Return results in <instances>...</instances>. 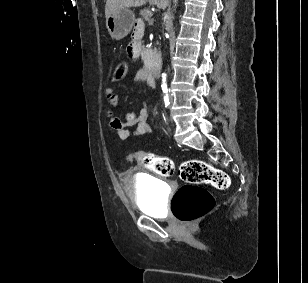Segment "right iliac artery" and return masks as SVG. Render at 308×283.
<instances>
[{
  "instance_id": "1",
  "label": "right iliac artery",
  "mask_w": 308,
  "mask_h": 283,
  "mask_svg": "<svg viewBox=\"0 0 308 283\" xmlns=\"http://www.w3.org/2000/svg\"><path fill=\"white\" fill-rule=\"evenodd\" d=\"M166 107L169 105L168 95L164 97Z\"/></svg>"
}]
</instances>
